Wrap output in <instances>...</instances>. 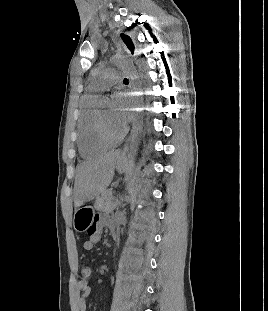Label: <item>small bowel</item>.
Masks as SVG:
<instances>
[{"mask_svg":"<svg viewBox=\"0 0 268 311\" xmlns=\"http://www.w3.org/2000/svg\"><path fill=\"white\" fill-rule=\"evenodd\" d=\"M104 228H108L111 231L115 230L113 222L108 217L97 216L94 225L88 229V233L90 235L89 239L83 243L85 250L90 251L94 248V246L100 241ZM77 285L81 292L76 304L77 311H86V299L91 293L88 278L79 280Z\"/></svg>","mask_w":268,"mask_h":311,"instance_id":"small-bowel-1","label":"small bowel"}]
</instances>
